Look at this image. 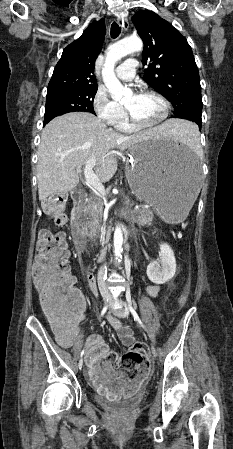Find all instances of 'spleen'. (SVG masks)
Wrapping results in <instances>:
<instances>
[{
	"label": "spleen",
	"mask_w": 233,
	"mask_h": 449,
	"mask_svg": "<svg viewBox=\"0 0 233 449\" xmlns=\"http://www.w3.org/2000/svg\"><path fill=\"white\" fill-rule=\"evenodd\" d=\"M196 130H197L196 124L182 125V130L178 131L177 138H179L182 142L186 143L187 145L193 146V148L197 151V149H199V144Z\"/></svg>",
	"instance_id": "spleen-1"
}]
</instances>
